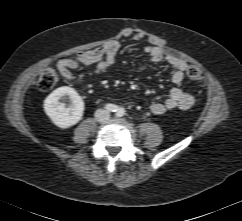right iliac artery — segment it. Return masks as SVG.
<instances>
[{"instance_id": "right-iliac-artery-1", "label": "right iliac artery", "mask_w": 242, "mask_h": 221, "mask_svg": "<svg viewBox=\"0 0 242 221\" xmlns=\"http://www.w3.org/2000/svg\"><path fill=\"white\" fill-rule=\"evenodd\" d=\"M105 109L108 110L109 112H117L119 110L118 106L114 104H107L105 106Z\"/></svg>"}]
</instances>
